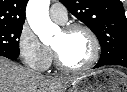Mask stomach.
<instances>
[{
  "label": "stomach",
  "mask_w": 127,
  "mask_h": 92,
  "mask_svg": "<svg viewBox=\"0 0 127 92\" xmlns=\"http://www.w3.org/2000/svg\"><path fill=\"white\" fill-rule=\"evenodd\" d=\"M69 92H127V75L115 69H100L78 77Z\"/></svg>",
  "instance_id": "obj_1"
}]
</instances>
